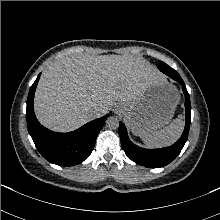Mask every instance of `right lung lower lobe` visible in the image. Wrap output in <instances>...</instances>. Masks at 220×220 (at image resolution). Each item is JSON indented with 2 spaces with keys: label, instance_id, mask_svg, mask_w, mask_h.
Segmentation results:
<instances>
[{
  "label": "right lung lower lobe",
  "instance_id": "obj_1",
  "mask_svg": "<svg viewBox=\"0 0 220 220\" xmlns=\"http://www.w3.org/2000/svg\"><path fill=\"white\" fill-rule=\"evenodd\" d=\"M40 74L30 88L27 98L26 119L29 134L40 154L49 162L60 166H73L91 154L106 116L93 120L69 133H56L43 127L33 110L34 93Z\"/></svg>",
  "mask_w": 220,
  "mask_h": 220
}]
</instances>
